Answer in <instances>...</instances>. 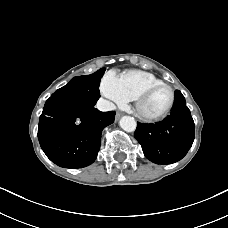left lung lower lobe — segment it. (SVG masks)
Listing matches in <instances>:
<instances>
[{"label":"left lung lower lobe","mask_w":228,"mask_h":228,"mask_svg":"<svg viewBox=\"0 0 228 228\" xmlns=\"http://www.w3.org/2000/svg\"><path fill=\"white\" fill-rule=\"evenodd\" d=\"M171 114L155 124L137 123L134 133L147 159L156 164L181 160L194 141V121L180 91H175Z\"/></svg>","instance_id":"0a47b994"}]
</instances>
